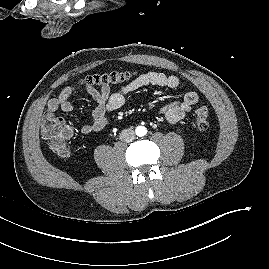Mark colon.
<instances>
[{
	"label": "colon",
	"instance_id": "5ec220e1",
	"mask_svg": "<svg viewBox=\"0 0 269 269\" xmlns=\"http://www.w3.org/2000/svg\"><path fill=\"white\" fill-rule=\"evenodd\" d=\"M135 77V72H111L104 75L88 76L81 80L82 86H112L128 82ZM209 110L206 106H200L196 109L194 114V123L198 130L205 131L209 126ZM42 135L47 139L54 150L61 154L66 155L68 148L65 143L66 125L63 119L55 116L54 114L46 113L41 124Z\"/></svg>",
	"mask_w": 269,
	"mask_h": 269
}]
</instances>
